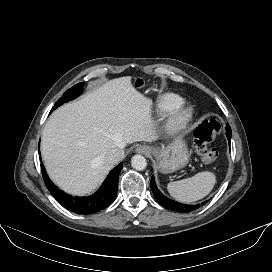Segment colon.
Masks as SVG:
<instances>
[{
    "instance_id": "colon-1",
    "label": "colon",
    "mask_w": 272,
    "mask_h": 272,
    "mask_svg": "<svg viewBox=\"0 0 272 272\" xmlns=\"http://www.w3.org/2000/svg\"><path fill=\"white\" fill-rule=\"evenodd\" d=\"M144 85V82H140ZM221 125L216 119L201 122L194 131V146L197 154L205 163H212L218 157V150L210 144L220 134Z\"/></svg>"
}]
</instances>
